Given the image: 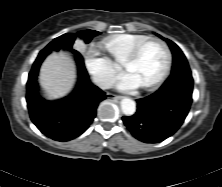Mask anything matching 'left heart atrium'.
I'll return each mask as SVG.
<instances>
[{"instance_id":"obj_1","label":"left heart atrium","mask_w":222,"mask_h":187,"mask_svg":"<svg viewBox=\"0 0 222 187\" xmlns=\"http://www.w3.org/2000/svg\"><path fill=\"white\" fill-rule=\"evenodd\" d=\"M139 86V83L129 73L124 74L120 78L117 85L118 89L121 91H131L138 88Z\"/></svg>"}]
</instances>
